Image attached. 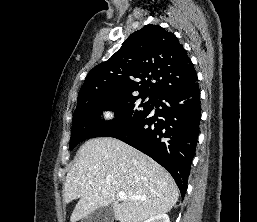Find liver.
I'll use <instances>...</instances> for the list:
<instances>
[{
    "label": "liver",
    "instance_id": "obj_1",
    "mask_svg": "<svg viewBox=\"0 0 257 222\" xmlns=\"http://www.w3.org/2000/svg\"><path fill=\"white\" fill-rule=\"evenodd\" d=\"M64 201L79 199L70 222L88 216L100 207L112 205L120 222H143L169 212L179 191L172 176L153 159L113 138L85 142L69 170L64 184ZM128 197L120 203L118 192Z\"/></svg>",
    "mask_w": 257,
    "mask_h": 222
}]
</instances>
